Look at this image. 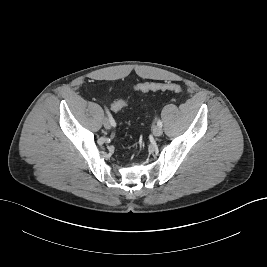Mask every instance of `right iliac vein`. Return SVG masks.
<instances>
[{
    "label": "right iliac vein",
    "instance_id": "obj_1",
    "mask_svg": "<svg viewBox=\"0 0 267 267\" xmlns=\"http://www.w3.org/2000/svg\"><path fill=\"white\" fill-rule=\"evenodd\" d=\"M103 125L106 129H110L111 128V124L108 118H105L103 121Z\"/></svg>",
    "mask_w": 267,
    "mask_h": 267
}]
</instances>
